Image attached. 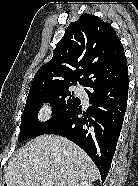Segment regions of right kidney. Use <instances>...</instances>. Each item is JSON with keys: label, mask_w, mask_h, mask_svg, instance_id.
<instances>
[{"label": "right kidney", "mask_w": 138, "mask_h": 186, "mask_svg": "<svg viewBox=\"0 0 138 186\" xmlns=\"http://www.w3.org/2000/svg\"><path fill=\"white\" fill-rule=\"evenodd\" d=\"M74 186H93L91 182H88V181H82V182H79L77 184H75Z\"/></svg>", "instance_id": "1"}]
</instances>
